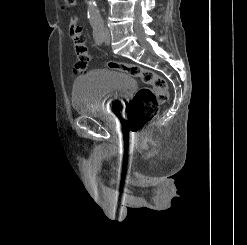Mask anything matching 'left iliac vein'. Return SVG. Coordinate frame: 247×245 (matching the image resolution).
I'll return each instance as SVG.
<instances>
[{"instance_id":"left-iliac-vein-1","label":"left iliac vein","mask_w":247,"mask_h":245,"mask_svg":"<svg viewBox=\"0 0 247 245\" xmlns=\"http://www.w3.org/2000/svg\"><path fill=\"white\" fill-rule=\"evenodd\" d=\"M103 38H104V42L106 45L110 44L111 41V35H110V31L108 28H105L103 31Z\"/></svg>"}]
</instances>
